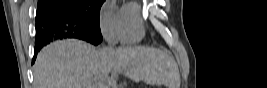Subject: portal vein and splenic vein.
<instances>
[{
	"instance_id": "1",
	"label": "portal vein and splenic vein",
	"mask_w": 267,
	"mask_h": 88,
	"mask_svg": "<svg viewBox=\"0 0 267 88\" xmlns=\"http://www.w3.org/2000/svg\"><path fill=\"white\" fill-rule=\"evenodd\" d=\"M118 72L119 71L117 69H114V70H112L111 78L108 77L107 75H105V76H99V77H96V78L100 79V81H106V80H108L109 83H111L112 88H116L114 79L117 77ZM98 88H103V86L100 85V86H98Z\"/></svg>"
}]
</instances>
